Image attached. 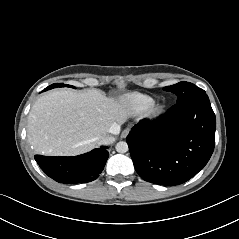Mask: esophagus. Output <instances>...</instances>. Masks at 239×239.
<instances>
[{
    "label": "esophagus",
    "instance_id": "obj_1",
    "mask_svg": "<svg viewBox=\"0 0 239 239\" xmlns=\"http://www.w3.org/2000/svg\"><path fill=\"white\" fill-rule=\"evenodd\" d=\"M130 129L129 128H125L122 133H121V138H126L127 135L129 134Z\"/></svg>",
    "mask_w": 239,
    "mask_h": 239
}]
</instances>
